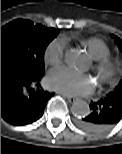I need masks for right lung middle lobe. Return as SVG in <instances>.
Instances as JSON below:
<instances>
[{"instance_id":"right-lung-middle-lobe-1","label":"right lung middle lobe","mask_w":122,"mask_h":154,"mask_svg":"<svg viewBox=\"0 0 122 154\" xmlns=\"http://www.w3.org/2000/svg\"><path fill=\"white\" fill-rule=\"evenodd\" d=\"M58 33L30 20H14L1 28V59L20 62L33 77H43L45 50Z\"/></svg>"}]
</instances>
